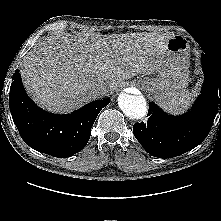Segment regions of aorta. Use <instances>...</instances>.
I'll list each match as a JSON object with an SVG mask.
<instances>
[{
	"instance_id": "762f6f07",
	"label": "aorta",
	"mask_w": 221,
	"mask_h": 221,
	"mask_svg": "<svg viewBox=\"0 0 221 221\" xmlns=\"http://www.w3.org/2000/svg\"><path fill=\"white\" fill-rule=\"evenodd\" d=\"M117 101L120 109L130 119L138 120L147 115L146 100L141 95H129L122 92Z\"/></svg>"
}]
</instances>
